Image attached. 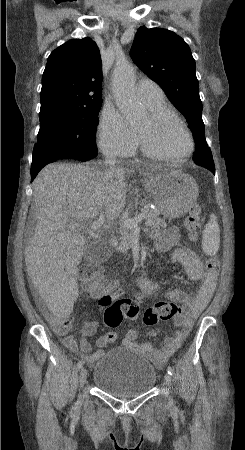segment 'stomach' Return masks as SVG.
<instances>
[{"label":"stomach","instance_id":"1","mask_svg":"<svg viewBox=\"0 0 245 450\" xmlns=\"http://www.w3.org/2000/svg\"><path fill=\"white\" fill-rule=\"evenodd\" d=\"M144 186L153 197L159 213L168 219L184 216L199 193L193 177L172 169H159L152 173L145 179Z\"/></svg>","mask_w":245,"mask_h":450}]
</instances>
